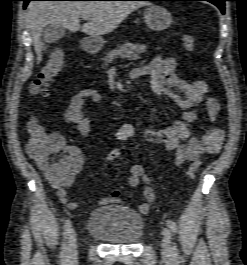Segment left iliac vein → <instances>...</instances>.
Returning a JSON list of instances; mask_svg holds the SVG:
<instances>
[{
	"label": "left iliac vein",
	"instance_id": "1",
	"mask_svg": "<svg viewBox=\"0 0 247 265\" xmlns=\"http://www.w3.org/2000/svg\"><path fill=\"white\" fill-rule=\"evenodd\" d=\"M162 255L165 258H170L172 255L171 251V232L168 228L163 229V239L161 243Z\"/></svg>",
	"mask_w": 247,
	"mask_h": 265
}]
</instances>
